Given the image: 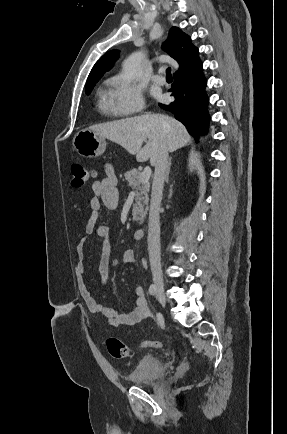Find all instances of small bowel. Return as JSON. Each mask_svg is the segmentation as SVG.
<instances>
[{"instance_id":"c3829d8e","label":"small bowel","mask_w":287,"mask_h":434,"mask_svg":"<svg viewBox=\"0 0 287 434\" xmlns=\"http://www.w3.org/2000/svg\"><path fill=\"white\" fill-rule=\"evenodd\" d=\"M93 196L89 200L92 211L89 217L84 235L79 240L76 250L79 261L76 266V284L81 297L84 299L90 312L101 314L107 318L108 324L112 327L120 325L134 326L145 320L149 316V309L144 296L143 288L140 284L135 288V308L126 314L102 304L91 292L86 283V263H85V244L91 235H96L102 240V253L99 262V280L105 284L108 280L111 262V229L104 224L97 222L100 212L103 209L113 210L118 206L117 176L111 165L105 167V176L101 180L95 181L92 186ZM125 263L131 264L135 260V253L127 249L122 254Z\"/></svg>"}]
</instances>
